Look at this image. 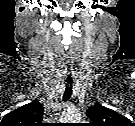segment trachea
<instances>
[{
  "mask_svg": "<svg viewBox=\"0 0 135 126\" xmlns=\"http://www.w3.org/2000/svg\"><path fill=\"white\" fill-rule=\"evenodd\" d=\"M72 83H73V81H72L71 75L69 74L68 78H67L66 88H65V91H64V94H63V101H67V100H69L71 98V95H72Z\"/></svg>",
  "mask_w": 135,
  "mask_h": 126,
  "instance_id": "1",
  "label": "trachea"
}]
</instances>
